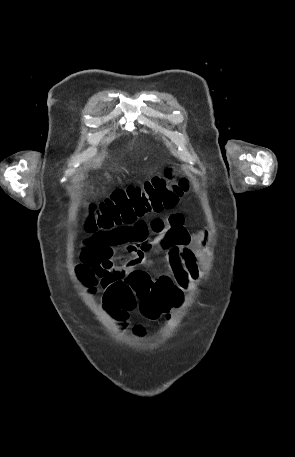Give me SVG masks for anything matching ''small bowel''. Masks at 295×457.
<instances>
[{"label": "small bowel", "mask_w": 295, "mask_h": 457, "mask_svg": "<svg viewBox=\"0 0 295 457\" xmlns=\"http://www.w3.org/2000/svg\"><path fill=\"white\" fill-rule=\"evenodd\" d=\"M206 242V232L190 233L184 225V215L173 212L165 218L157 217L150 221L139 219L130 226L91 233L83 241L80 260L90 264L103 263L112 256L115 246L124 245L127 250L135 248L136 251L129 253L123 266L127 276L132 271H144L139 267L150 265L149 254L161 250L168 271L154 279V282L169 278L177 290V305L184 291L199 277L204 260L202 248ZM101 285L106 288L103 281Z\"/></svg>", "instance_id": "c3829d8e"}]
</instances>
